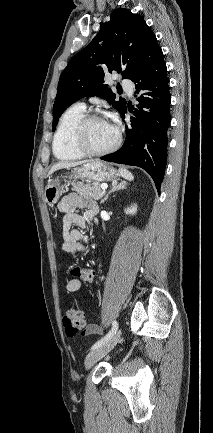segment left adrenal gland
Segmentation results:
<instances>
[{
	"instance_id": "left-adrenal-gland-1",
	"label": "left adrenal gland",
	"mask_w": 213,
	"mask_h": 433,
	"mask_svg": "<svg viewBox=\"0 0 213 433\" xmlns=\"http://www.w3.org/2000/svg\"><path fill=\"white\" fill-rule=\"evenodd\" d=\"M126 185H127V183L125 181H122L119 184H114L113 187L110 189V191L106 194V196L104 197V199L101 201V204H103L108 199L109 195L112 192L126 189Z\"/></svg>"
}]
</instances>
